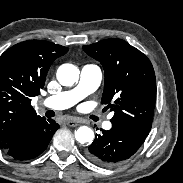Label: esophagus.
<instances>
[{"label":"esophagus","instance_id":"esophagus-1","mask_svg":"<svg viewBox=\"0 0 183 183\" xmlns=\"http://www.w3.org/2000/svg\"><path fill=\"white\" fill-rule=\"evenodd\" d=\"M83 121L81 120H76V119H68L65 124L69 127H75L77 126L79 123H82Z\"/></svg>","mask_w":183,"mask_h":183}]
</instances>
